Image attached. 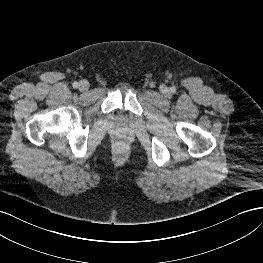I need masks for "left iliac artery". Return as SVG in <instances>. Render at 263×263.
<instances>
[{
  "mask_svg": "<svg viewBox=\"0 0 263 263\" xmlns=\"http://www.w3.org/2000/svg\"><path fill=\"white\" fill-rule=\"evenodd\" d=\"M170 90L172 93H174L176 91V89L174 87H172Z\"/></svg>",
  "mask_w": 263,
  "mask_h": 263,
  "instance_id": "obj_1",
  "label": "left iliac artery"
}]
</instances>
